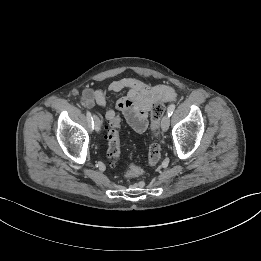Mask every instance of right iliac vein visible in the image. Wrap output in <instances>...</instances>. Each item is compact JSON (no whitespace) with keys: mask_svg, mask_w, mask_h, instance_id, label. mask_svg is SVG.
<instances>
[{"mask_svg":"<svg viewBox=\"0 0 261 261\" xmlns=\"http://www.w3.org/2000/svg\"><path fill=\"white\" fill-rule=\"evenodd\" d=\"M93 120H94V127H95V130L97 132H99L101 130V120L98 116L94 115L93 116Z\"/></svg>","mask_w":261,"mask_h":261,"instance_id":"63e3f726","label":"right iliac vein"}]
</instances>
